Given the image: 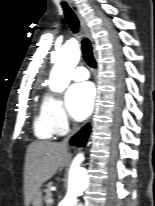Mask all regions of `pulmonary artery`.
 <instances>
[{
	"mask_svg": "<svg viewBox=\"0 0 155 206\" xmlns=\"http://www.w3.org/2000/svg\"><path fill=\"white\" fill-rule=\"evenodd\" d=\"M88 78H89V73L87 69L82 66L77 67L72 74V79L75 81H82Z\"/></svg>",
	"mask_w": 155,
	"mask_h": 206,
	"instance_id": "pulmonary-artery-1",
	"label": "pulmonary artery"
}]
</instances>
